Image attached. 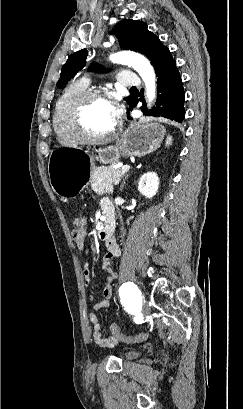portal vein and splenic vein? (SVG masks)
I'll use <instances>...</instances> for the list:
<instances>
[{
    "label": "portal vein and splenic vein",
    "instance_id": "obj_1",
    "mask_svg": "<svg viewBox=\"0 0 243 409\" xmlns=\"http://www.w3.org/2000/svg\"><path fill=\"white\" fill-rule=\"evenodd\" d=\"M129 169H130V165H124L122 166L121 171H127Z\"/></svg>",
    "mask_w": 243,
    "mask_h": 409
}]
</instances>
